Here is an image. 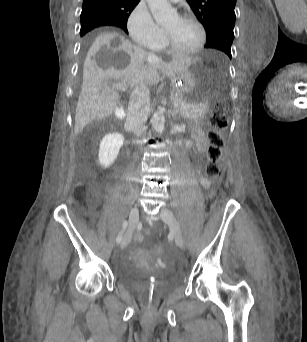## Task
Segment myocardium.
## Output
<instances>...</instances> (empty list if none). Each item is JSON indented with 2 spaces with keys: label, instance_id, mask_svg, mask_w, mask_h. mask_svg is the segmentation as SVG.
<instances>
[{
  "label": "myocardium",
  "instance_id": "1",
  "mask_svg": "<svg viewBox=\"0 0 307 342\" xmlns=\"http://www.w3.org/2000/svg\"><path fill=\"white\" fill-rule=\"evenodd\" d=\"M179 20L182 22H192L199 27L200 32H201V39L199 43L195 47L188 49V50H177V49L172 48L169 45L167 37L164 35L162 50L168 54L176 55V56H190V55L199 53L207 45V41H208V32H207L205 23L201 19L193 15L180 16Z\"/></svg>",
  "mask_w": 307,
  "mask_h": 342
}]
</instances>
